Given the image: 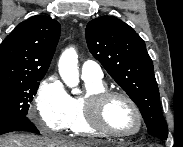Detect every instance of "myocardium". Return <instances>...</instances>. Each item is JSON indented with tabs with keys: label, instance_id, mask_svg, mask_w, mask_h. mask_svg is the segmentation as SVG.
Instances as JSON below:
<instances>
[{
	"label": "myocardium",
	"instance_id": "f54148a6",
	"mask_svg": "<svg viewBox=\"0 0 183 147\" xmlns=\"http://www.w3.org/2000/svg\"><path fill=\"white\" fill-rule=\"evenodd\" d=\"M119 97L124 99L133 109L137 120L138 128L131 133H122L110 128L104 118V107L106 103L112 98ZM86 114L90 126L98 131L100 134H105L118 138H133L138 136L144 128V120L140 108L136 102L126 93L115 90H102L100 92L91 94L86 99Z\"/></svg>",
	"mask_w": 183,
	"mask_h": 147
}]
</instances>
